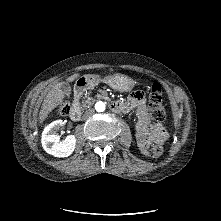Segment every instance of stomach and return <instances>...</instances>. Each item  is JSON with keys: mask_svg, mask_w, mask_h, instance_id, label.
<instances>
[{"mask_svg": "<svg viewBox=\"0 0 221 221\" xmlns=\"http://www.w3.org/2000/svg\"><path fill=\"white\" fill-rule=\"evenodd\" d=\"M100 77L98 75H84L77 80V82L82 81L85 83L86 87H91L100 81ZM104 81L113 89L128 92L131 91L135 85V82L132 78L123 75V74H114L111 76H107Z\"/></svg>", "mask_w": 221, "mask_h": 221, "instance_id": "stomach-1", "label": "stomach"}]
</instances>
